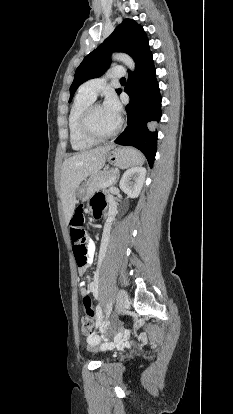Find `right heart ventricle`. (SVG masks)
Here are the masks:
<instances>
[{
    "mask_svg": "<svg viewBox=\"0 0 233 414\" xmlns=\"http://www.w3.org/2000/svg\"><path fill=\"white\" fill-rule=\"evenodd\" d=\"M94 98L90 97L89 95L85 94L81 90L78 91L76 94L74 101L71 105L69 114H68V132H69V140L72 149L76 151H83L91 148L95 142L86 139L79 130V119L86 108Z\"/></svg>",
    "mask_w": 233,
    "mask_h": 414,
    "instance_id": "obj_1",
    "label": "right heart ventricle"
}]
</instances>
